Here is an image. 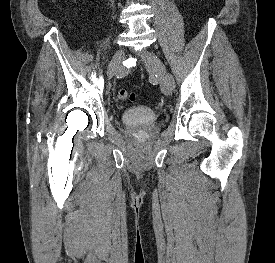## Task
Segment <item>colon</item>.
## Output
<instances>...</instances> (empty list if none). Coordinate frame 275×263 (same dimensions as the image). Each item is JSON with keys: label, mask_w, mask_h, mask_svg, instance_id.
Here are the masks:
<instances>
[{"label": "colon", "mask_w": 275, "mask_h": 263, "mask_svg": "<svg viewBox=\"0 0 275 263\" xmlns=\"http://www.w3.org/2000/svg\"><path fill=\"white\" fill-rule=\"evenodd\" d=\"M117 96L120 100H133L134 99V95L129 93L127 90L125 89H120L118 92H117Z\"/></svg>", "instance_id": "5ec220e1"}]
</instances>
